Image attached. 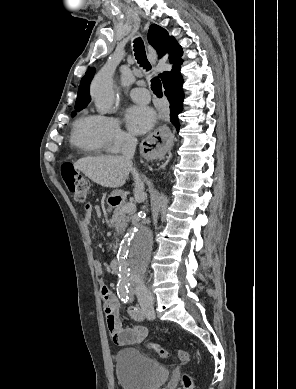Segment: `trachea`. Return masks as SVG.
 I'll return each instance as SVG.
<instances>
[{
  "mask_svg": "<svg viewBox=\"0 0 296 389\" xmlns=\"http://www.w3.org/2000/svg\"><path fill=\"white\" fill-rule=\"evenodd\" d=\"M134 52L136 60L140 64V66L149 71L151 69V65L147 59L145 46L141 38H136L134 40ZM151 89L157 97H162V85L161 81L158 78L154 77L151 80Z\"/></svg>",
  "mask_w": 296,
  "mask_h": 389,
  "instance_id": "1",
  "label": "trachea"
}]
</instances>
